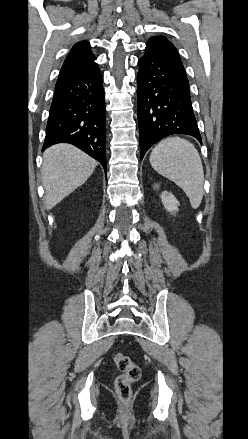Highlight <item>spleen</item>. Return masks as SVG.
Wrapping results in <instances>:
<instances>
[{
  "label": "spleen",
  "mask_w": 248,
  "mask_h": 439,
  "mask_svg": "<svg viewBox=\"0 0 248 439\" xmlns=\"http://www.w3.org/2000/svg\"><path fill=\"white\" fill-rule=\"evenodd\" d=\"M155 171L178 185L197 209L202 201L204 171L197 149L188 140L168 137L155 146L150 154Z\"/></svg>",
  "instance_id": "3e777b00"
}]
</instances>
